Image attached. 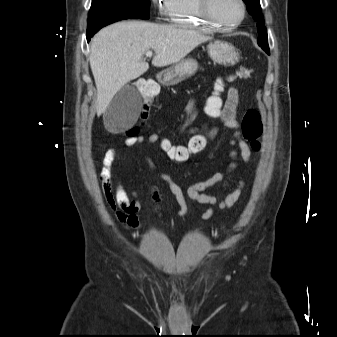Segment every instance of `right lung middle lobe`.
I'll list each match as a JSON object with an SVG mask.
<instances>
[{"instance_id": "1", "label": "right lung middle lobe", "mask_w": 337, "mask_h": 337, "mask_svg": "<svg viewBox=\"0 0 337 337\" xmlns=\"http://www.w3.org/2000/svg\"><path fill=\"white\" fill-rule=\"evenodd\" d=\"M150 0H92L88 25L105 18H149Z\"/></svg>"}]
</instances>
